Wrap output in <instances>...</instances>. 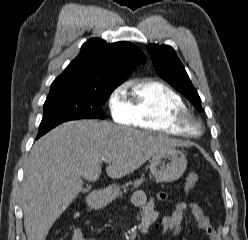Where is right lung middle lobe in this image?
<instances>
[{"mask_svg":"<svg viewBox=\"0 0 248 240\" xmlns=\"http://www.w3.org/2000/svg\"><path fill=\"white\" fill-rule=\"evenodd\" d=\"M114 88H63L50 91L39 129L77 119H104L102 109Z\"/></svg>","mask_w":248,"mask_h":240,"instance_id":"dd1d6c3e","label":"right lung middle lobe"}]
</instances>
